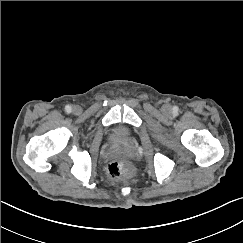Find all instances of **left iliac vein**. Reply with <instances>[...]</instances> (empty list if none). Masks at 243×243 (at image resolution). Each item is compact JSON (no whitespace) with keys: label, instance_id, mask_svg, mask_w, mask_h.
I'll return each instance as SVG.
<instances>
[{"label":"left iliac vein","instance_id":"4c4485c4","mask_svg":"<svg viewBox=\"0 0 243 243\" xmlns=\"http://www.w3.org/2000/svg\"><path fill=\"white\" fill-rule=\"evenodd\" d=\"M171 110V107L169 105H164L163 106V111L164 112H169Z\"/></svg>","mask_w":243,"mask_h":243}]
</instances>
